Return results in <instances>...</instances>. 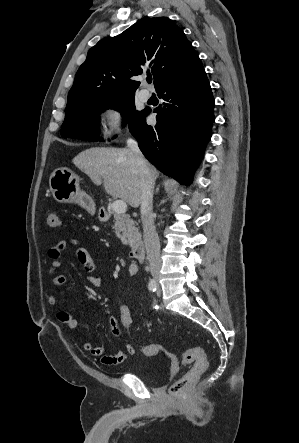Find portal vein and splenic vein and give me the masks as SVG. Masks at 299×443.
Masks as SVG:
<instances>
[{
	"mask_svg": "<svg viewBox=\"0 0 299 443\" xmlns=\"http://www.w3.org/2000/svg\"><path fill=\"white\" fill-rule=\"evenodd\" d=\"M112 210L118 214H124L127 210V204L123 200H116L112 204Z\"/></svg>",
	"mask_w": 299,
	"mask_h": 443,
	"instance_id": "1",
	"label": "portal vein and splenic vein"
}]
</instances>
